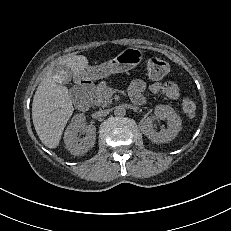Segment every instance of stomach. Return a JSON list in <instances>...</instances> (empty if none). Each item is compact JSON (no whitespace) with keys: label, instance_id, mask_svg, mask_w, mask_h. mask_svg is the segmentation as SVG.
<instances>
[{"label":"stomach","instance_id":"stomach-1","mask_svg":"<svg viewBox=\"0 0 231 231\" xmlns=\"http://www.w3.org/2000/svg\"><path fill=\"white\" fill-rule=\"evenodd\" d=\"M143 59L142 50L129 47L120 52L115 58L97 66L82 70L79 75L89 80L105 78L114 73H122L135 68Z\"/></svg>","mask_w":231,"mask_h":231}]
</instances>
